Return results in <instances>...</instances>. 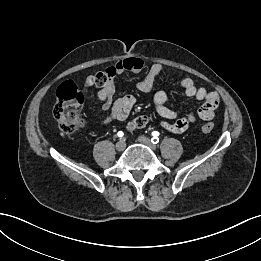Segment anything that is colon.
<instances>
[{
  "mask_svg": "<svg viewBox=\"0 0 261 261\" xmlns=\"http://www.w3.org/2000/svg\"><path fill=\"white\" fill-rule=\"evenodd\" d=\"M107 79L103 72H99L92 77L93 86L102 87ZM83 95L78 90L75 83L66 81L57 90V101L53 107V117L58 122L60 129L66 134L74 133L83 125L81 117V107ZM150 121L147 115H140L128 124V130L132 131L145 127ZM214 128L213 123H205L201 130L203 133H210Z\"/></svg>",
  "mask_w": 261,
  "mask_h": 261,
  "instance_id": "obj_1",
  "label": "colon"
}]
</instances>
